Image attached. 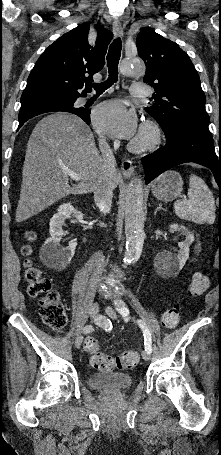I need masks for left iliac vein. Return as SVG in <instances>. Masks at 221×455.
I'll list each match as a JSON object with an SVG mask.
<instances>
[{
	"label": "left iliac vein",
	"mask_w": 221,
	"mask_h": 455,
	"mask_svg": "<svg viewBox=\"0 0 221 455\" xmlns=\"http://www.w3.org/2000/svg\"><path fill=\"white\" fill-rule=\"evenodd\" d=\"M117 300H119V299H117ZM106 313L112 319H116L117 318L116 311L113 308L109 307V306L106 308ZM142 358L145 361H149L150 360V354L147 351H142Z\"/></svg>",
	"instance_id": "obj_1"
}]
</instances>
